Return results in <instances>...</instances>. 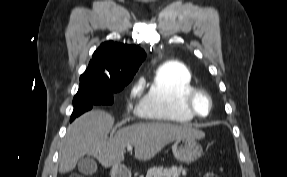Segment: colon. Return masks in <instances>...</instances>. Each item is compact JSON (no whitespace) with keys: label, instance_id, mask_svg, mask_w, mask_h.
Listing matches in <instances>:
<instances>
[{"label":"colon","instance_id":"1","mask_svg":"<svg viewBox=\"0 0 287 177\" xmlns=\"http://www.w3.org/2000/svg\"><path fill=\"white\" fill-rule=\"evenodd\" d=\"M70 177H82L78 174H73ZM200 177H219L218 174L214 171H205L203 172Z\"/></svg>","mask_w":287,"mask_h":177}]
</instances>
